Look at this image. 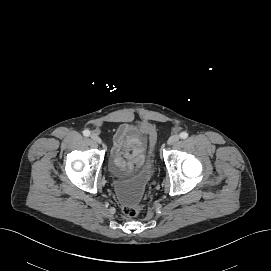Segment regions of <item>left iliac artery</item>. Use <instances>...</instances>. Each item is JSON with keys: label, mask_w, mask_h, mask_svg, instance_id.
Instances as JSON below:
<instances>
[{"label": "left iliac artery", "mask_w": 271, "mask_h": 271, "mask_svg": "<svg viewBox=\"0 0 271 271\" xmlns=\"http://www.w3.org/2000/svg\"><path fill=\"white\" fill-rule=\"evenodd\" d=\"M187 137H188V133L187 132H181L180 133V138L186 139Z\"/></svg>", "instance_id": "left-iliac-artery-1"}]
</instances>
